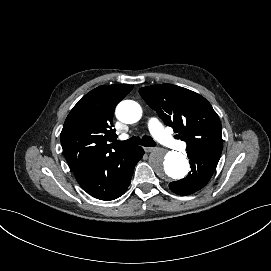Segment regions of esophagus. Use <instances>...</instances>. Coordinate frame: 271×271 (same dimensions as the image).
Wrapping results in <instances>:
<instances>
[{"mask_svg": "<svg viewBox=\"0 0 271 271\" xmlns=\"http://www.w3.org/2000/svg\"><path fill=\"white\" fill-rule=\"evenodd\" d=\"M156 147H144V151L145 152H154L156 151Z\"/></svg>", "mask_w": 271, "mask_h": 271, "instance_id": "34e87169", "label": "esophagus"}]
</instances>
